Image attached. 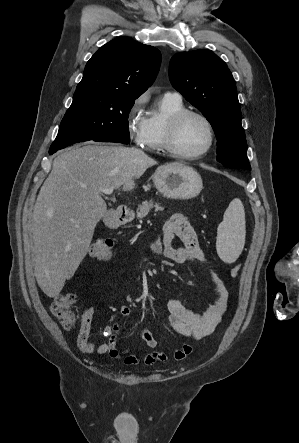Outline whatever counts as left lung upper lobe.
Here are the masks:
<instances>
[{
	"label": "left lung upper lobe",
	"mask_w": 299,
	"mask_h": 443,
	"mask_svg": "<svg viewBox=\"0 0 299 443\" xmlns=\"http://www.w3.org/2000/svg\"><path fill=\"white\" fill-rule=\"evenodd\" d=\"M173 87L199 109L217 138V160L250 170L235 80L225 62L208 49L175 54L169 65Z\"/></svg>",
	"instance_id": "1"
}]
</instances>
